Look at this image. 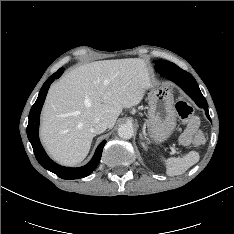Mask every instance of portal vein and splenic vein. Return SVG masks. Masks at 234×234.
<instances>
[{
  "label": "portal vein and splenic vein",
  "mask_w": 234,
  "mask_h": 234,
  "mask_svg": "<svg viewBox=\"0 0 234 234\" xmlns=\"http://www.w3.org/2000/svg\"><path fill=\"white\" fill-rule=\"evenodd\" d=\"M171 154H179L173 146H170Z\"/></svg>",
  "instance_id": "1"
}]
</instances>
